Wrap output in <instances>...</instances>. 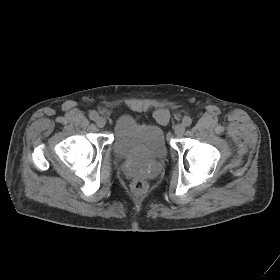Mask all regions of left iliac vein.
Returning a JSON list of instances; mask_svg holds the SVG:
<instances>
[{
	"instance_id": "left-iliac-vein-1",
	"label": "left iliac vein",
	"mask_w": 280,
	"mask_h": 280,
	"mask_svg": "<svg viewBox=\"0 0 280 280\" xmlns=\"http://www.w3.org/2000/svg\"><path fill=\"white\" fill-rule=\"evenodd\" d=\"M185 132V127L183 124H177L175 127H174V133L180 137L184 134Z\"/></svg>"
}]
</instances>
